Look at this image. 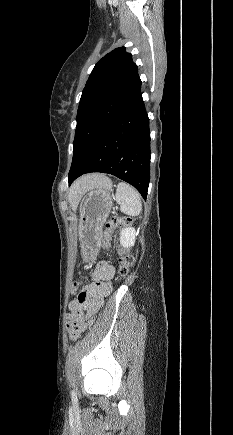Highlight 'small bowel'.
I'll return each instance as SVG.
<instances>
[{
  "label": "small bowel",
  "mask_w": 233,
  "mask_h": 435,
  "mask_svg": "<svg viewBox=\"0 0 233 435\" xmlns=\"http://www.w3.org/2000/svg\"><path fill=\"white\" fill-rule=\"evenodd\" d=\"M115 269L107 262H100L91 274L92 282L83 287L78 296L69 304L70 313L67 324L72 335L82 333L89 324L90 317L95 314L103 302V296L111 292V279ZM80 282H74L71 290L80 289Z\"/></svg>",
  "instance_id": "small-bowel-1"
}]
</instances>
